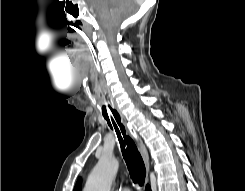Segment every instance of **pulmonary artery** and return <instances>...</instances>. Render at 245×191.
<instances>
[{"mask_svg": "<svg viewBox=\"0 0 245 191\" xmlns=\"http://www.w3.org/2000/svg\"><path fill=\"white\" fill-rule=\"evenodd\" d=\"M119 191H131V190L128 188H123V189H120Z\"/></svg>", "mask_w": 245, "mask_h": 191, "instance_id": "1", "label": "pulmonary artery"}]
</instances>
